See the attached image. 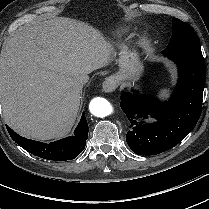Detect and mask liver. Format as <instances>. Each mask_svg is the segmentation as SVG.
Segmentation results:
<instances>
[{"mask_svg":"<svg viewBox=\"0 0 209 209\" xmlns=\"http://www.w3.org/2000/svg\"><path fill=\"white\" fill-rule=\"evenodd\" d=\"M112 47L82 21L56 17L22 27L2 46L0 103L22 136L50 140L71 131L80 106L78 80L107 66Z\"/></svg>","mask_w":209,"mask_h":209,"instance_id":"6515ba94","label":"liver"}]
</instances>
